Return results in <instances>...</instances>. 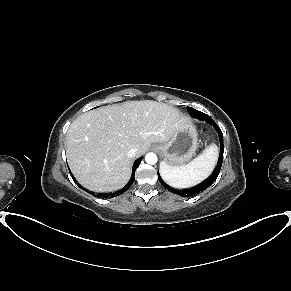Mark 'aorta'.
<instances>
[{
    "instance_id": "762f6f07",
    "label": "aorta",
    "mask_w": 291,
    "mask_h": 291,
    "mask_svg": "<svg viewBox=\"0 0 291 291\" xmlns=\"http://www.w3.org/2000/svg\"><path fill=\"white\" fill-rule=\"evenodd\" d=\"M145 161L148 163V164H156L157 162V155L154 154V153H147L146 156H145Z\"/></svg>"
}]
</instances>
